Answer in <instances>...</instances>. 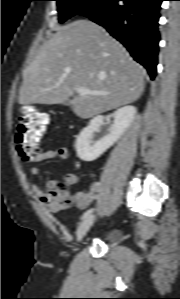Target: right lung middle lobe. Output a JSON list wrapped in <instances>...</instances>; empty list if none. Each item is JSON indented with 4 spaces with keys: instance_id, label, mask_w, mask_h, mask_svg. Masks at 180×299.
Returning <instances> with one entry per match:
<instances>
[{
    "instance_id": "1",
    "label": "right lung middle lobe",
    "mask_w": 180,
    "mask_h": 299,
    "mask_svg": "<svg viewBox=\"0 0 180 299\" xmlns=\"http://www.w3.org/2000/svg\"><path fill=\"white\" fill-rule=\"evenodd\" d=\"M59 12V22L62 23L68 18L92 9L104 0H56Z\"/></svg>"
}]
</instances>
